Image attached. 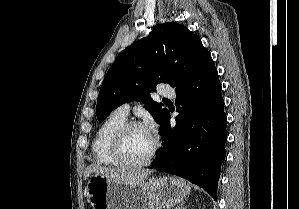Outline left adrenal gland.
I'll list each match as a JSON object with an SVG mask.
<instances>
[{
	"mask_svg": "<svg viewBox=\"0 0 299 209\" xmlns=\"http://www.w3.org/2000/svg\"><path fill=\"white\" fill-rule=\"evenodd\" d=\"M175 209H186V208L183 206V204H181V205L177 206Z\"/></svg>",
	"mask_w": 299,
	"mask_h": 209,
	"instance_id": "a2214340",
	"label": "left adrenal gland"
}]
</instances>
